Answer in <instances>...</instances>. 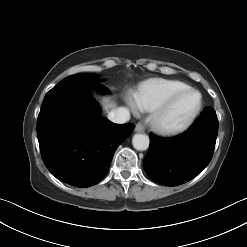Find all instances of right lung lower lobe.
Masks as SVG:
<instances>
[{
  "label": "right lung lower lobe",
  "mask_w": 247,
  "mask_h": 247,
  "mask_svg": "<svg viewBox=\"0 0 247 247\" xmlns=\"http://www.w3.org/2000/svg\"><path fill=\"white\" fill-rule=\"evenodd\" d=\"M91 89L108 92L95 81L57 84L46 94L37 120L45 166L57 179L80 188L102 180L115 150L134 129L100 116Z\"/></svg>",
  "instance_id": "98d812e1"
}]
</instances>
